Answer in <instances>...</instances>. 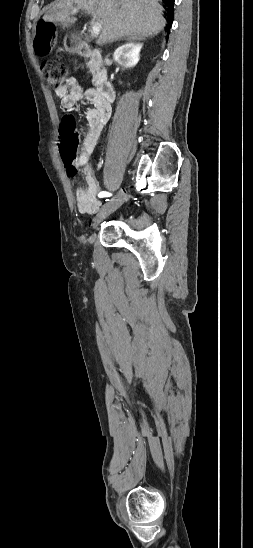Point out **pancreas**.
I'll list each match as a JSON object with an SVG mask.
<instances>
[{
  "label": "pancreas",
  "instance_id": "cf45deb5",
  "mask_svg": "<svg viewBox=\"0 0 253 548\" xmlns=\"http://www.w3.org/2000/svg\"><path fill=\"white\" fill-rule=\"evenodd\" d=\"M87 67L89 69V71L92 73L93 75V79H92V83H95L96 80L98 79L99 77V72H100V69L97 65V63L95 61H89L87 63Z\"/></svg>",
  "mask_w": 253,
  "mask_h": 548
}]
</instances>
